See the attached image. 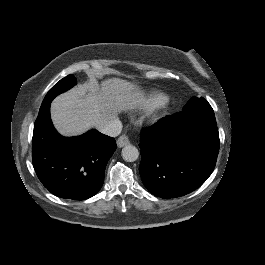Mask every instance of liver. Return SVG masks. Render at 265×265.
<instances>
[{
  "mask_svg": "<svg viewBox=\"0 0 265 265\" xmlns=\"http://www.w3.org/2000/svg\"><path fill=\"white\" fill-rule=\"evenodd\" d=\"M143 97L144 92L127 80L110 78L99 83L90 76L89 82L54 99L51 117L62 135H77L90 127L98 129L122 111L138 108Z\"/></svg>",
  "mask_w": 265,
  "mask_h": 265,
  "instance_id": "liver-1",
  "label": "liver"
}]
</instances>
